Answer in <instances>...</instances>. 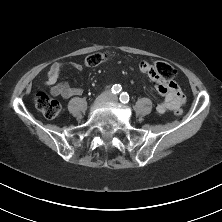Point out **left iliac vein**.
I'll return each instance as SVG.
<instances>
[{
    "mask_svg": "<svg viewBox=\"0 0 222 222\" xmlns=\"http://www.w3.org/2000/svg\"><path fill=\"white\" fill-rule=\"evenodd\" d=\"M109 102L117 103V97H116V96L110 97V98H109Z\"/></svg>",
    "mask_w": 222,
    "mask_h": 222,
    "instance_id": "obj_1",
    "label": "left iliac vein"
}]
</instances>
